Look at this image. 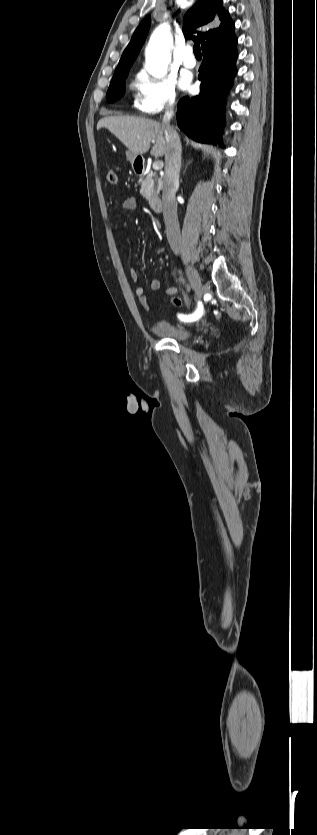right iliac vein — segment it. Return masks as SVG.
<instances>
[{"label": "right iliac vein", "instance_id": "right-iliac-vein-1", "mask_svg": "<svg viewBox=\"0 0 317 835\" xmlns=\"http://www.w3.org/2000/svg\"><path fill=\"white\" fill-rule=\"evenodd\" d=\"M187 274L197 297L202 296L204 288L198 272L193 267H187Z\"/></svg>", "mask_w": 317, "mask_h": 835}]
</instances>
